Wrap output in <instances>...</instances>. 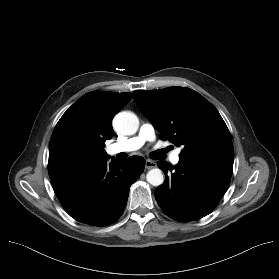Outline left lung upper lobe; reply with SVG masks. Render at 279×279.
<instances>
[{"label":"left lung upper lobe","instance_id":"obj_1","mask_svg":"<svg viewBox=\"0 0 279 279\" xmlns=\"http://www.w3.org/2000/svg\"><path fill=\"white\" fill-rule=\"evenodd\" d=\"M143 114L183 149L179 157L234 160L230 132L217 109L199 93L186 87L134 91Z\"/></svg>","mask_w":279,"mask_h":279}]
</instances>
